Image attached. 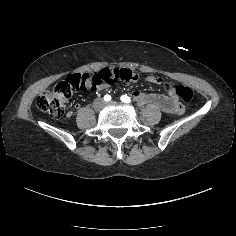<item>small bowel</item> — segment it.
<instances>
[{
    "label": "small bowel",
    "mask_w": 236,
    "mask_h": 236,
    "mask_svg": "<svg viewBox=\"0 0 236 236\" xmlns=\"http://www.w3.org/2000/svg\"><path fill=\"white\" fill-rule=\"evenodd\" d=\"M149 80L153 83H160L161 79L156 78V77H150ZM138 95V93H136Z\"/></svg>",
    "instance_id": "c3829d8e"
}]
</instances>
